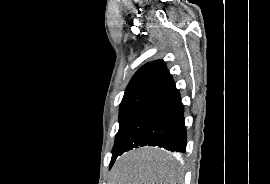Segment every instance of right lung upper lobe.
Returning <instances> with one entry per match:
<instances>
[{"label":"right lung upper lobe","mask_w":270,"mask_h":184,"mask_svg":"<svg viewBox=\"0 0 270 184\" xmlns=\"http://www.w3.org/2000/svg\"><path fill=\"white\" fill-rule=\"evenodd\" d=\"M173 82L165 62L156 60L141 67L126 88L123 100L137 96L151 97Z\"/></svg>","instance_id":"cb5924a9"}]
</instances>
